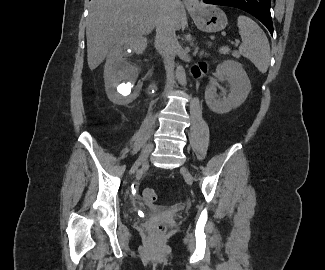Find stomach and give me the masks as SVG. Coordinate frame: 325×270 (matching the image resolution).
Instances as JSON below:
<instances>
[{
	"mask_svg": "<svg viewBox=\"0 0 325 270\" xmlns=\"http://www.w3.org/2000/svg\"><path fill=\"white\" fill-rule=\"evenodd\" d=\"M190 15L198 29L204 32H218L227 25L225 13L215 6L200 5L197 9L190 10Z\"/></svg>",
	"mask_w": 325,
	"mask_h": 270,
	"instance_id": "1",
	"label": "stomach"
}]
</instances>
